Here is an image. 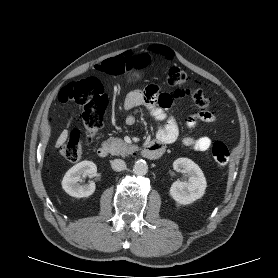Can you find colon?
I'll return each instance as SVG.
<instances>
[{"instance_id": "colon-1", "label": "colon", "mask_w": 278, "mask_h": 278, "mask_svg": "<svg viewBox=\"0 0 278 278\" xmlns=\"http://www.w3.org/2000/svg\"><path fill=\"white\" fill-rule=\"evenodd\" d=\"M149 63L150 57L147 54H126L105 60L98 66V70L106 75L120 76L134 68H144ZM167 84L190 96L199 108L209 107L210 98L207 91L200 83L192 82L188 74L180 68L171 67L168 70ZM58 99L63 104H72L83 110L82 121L86 140L92 142L102 127L107 106V95L100 80L89 77L70 82L60 90ZM59 153L69 162L80 160L82 133L79 129L70 133L67 141L59 147ZM211 153L218 165L228 164L230 152L223 142H212Z\"/></svg>"}]
</instances>
